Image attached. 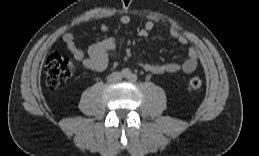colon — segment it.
Returning a JSON list of instances; mask_svg holds the SVG:
<instances>
[{"mask_svg":"<svg viewBox=\"0 0 259 156\" xmlns=\"http://www.w3.org/2000/svg\"><path fill=\"white\" fill-rule=\"evenodd\" d=\"M75 65L69 56L61 53H51L45 60L44 72L46 84L51 89H58L74 76ZM203 84L201 77H193L189 80L187 88L189 91L199 89Z\"/></svg>","mask_w":259,"mask_h":156,"instance_id":"obj_1","label":"colon"}]
</instances>
